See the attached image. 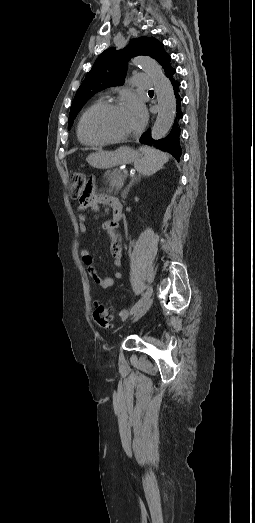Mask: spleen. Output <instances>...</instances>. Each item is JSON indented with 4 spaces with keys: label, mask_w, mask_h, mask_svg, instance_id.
<instances>
[{
    "label": "spleen",
    "mask_w": 255,
    "mask_h": 523,
    "mask_svg": "<svg viewBox=\"0 0 255 523\" xmlns=\"http://www.w3.org/2000/svg\"><path fill=\"white\" fill-rule=\"evenodd\" d=\"M141 154L134 162V168L142 174V176H152L156 174L158 170H162L164 164L169 162V158L165 152L155 150V148H148V146H142L139 148Z\"/></svg>",
    "instance_id": "spleen-1"
}]
</instances>
